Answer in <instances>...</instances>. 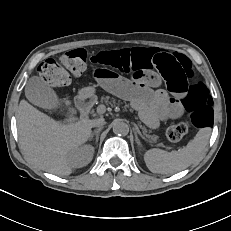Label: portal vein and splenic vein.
Masks as SVG:
<instances>
[{"instance_id":"portal-vein-and-splenic-vein-1","label":"portal vein and splenic vein","mask_w":231,"mask_h":231,"mask_svg":"<svg viewBox=\"0 0 231 231\" xmlns=\"http://www.w3.org/2000/svg\"><path fill=\"white\" fill-rule=\"evenodd\" d=\"M96 112L98 114H104L106 112V106L101 104L97 107Z\"/></svg>"}]
</instances>
